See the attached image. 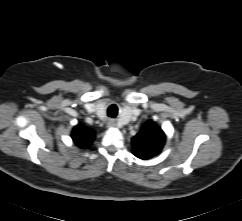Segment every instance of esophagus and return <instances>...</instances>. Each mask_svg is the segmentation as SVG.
I'll return each mask as SVG.
<instances>
[{
    "instance_id": "esophagus-1",
    "label": "esophagus",
    "mask_w": 242,
    "mask_h": 221,
    "mask_svg": "<svg viewBox=\"0 0 242 221\" xmlns=\"http://www.w3.org/2000/svg\"><path fill=\"white\" fill-rule=\"evenodd\" d=\"M107 126L108 127H113V126H115V123L113 121H110V122H108Z\"/></svg>"
}]
</instances>
